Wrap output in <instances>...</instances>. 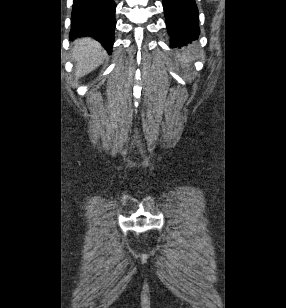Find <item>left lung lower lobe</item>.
<instances>
[{
    "instance_id": "obj_1",
    "label": "left lung lower lobe",
    "mask_w": 286,
    "mask_h": 308,
    "mask_svg": "<svg viewBox=\"0 0 286 308\" xmlns=\"http://www.w3.org/2000/svg\"><path fill=\"white\" fill-rule=\"evenodd\" d=\"M171 47H181L198 39L199 14L195 0H163Z\"/></svg>"
}]
</instances>
